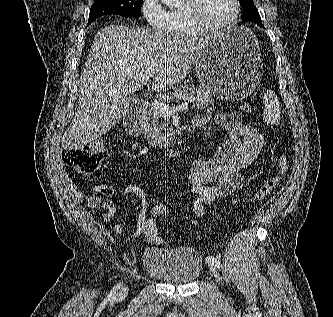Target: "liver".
<instances>
[{"label":"liver","mask_w":333,"mask_h":317,"mask_svg":"<svg viewBox=\"0 0 333 317\" xmlns=\"http://www.w3.org/2000/svg\"><path fill=\"white\" fill-rule=\"evenodd\" d=\"M211 36L182 37L122 24L101 29L80 78L78 109L62 147L83 149L104 135L127 112L123 98L151 77L154 91L182 81Z\"/></svg>","instance_id":"liver-1"}]
</instances>
